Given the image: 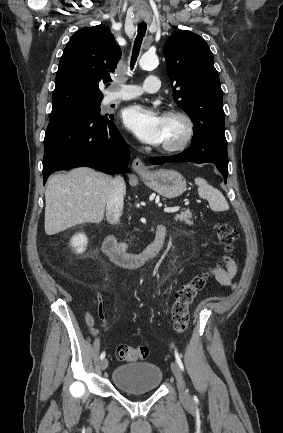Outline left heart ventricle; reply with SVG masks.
I'll use <instances>...</instances> for the list:
<instances>
[{"instance_id": "1", "label": "left heart ventricle", "mask_w": 283, "mask_h": 433, "mask_svg": "<svg viewBox=\"0 0 283 433\" xmlns=\"http://www.w3.org/2000/svg\"><path fill=\"white\" fill-rule=\"evenodd\" d=\"M165 139L161 150L179 142L185 133V124L178 117H163Z\"/></svg>"}]
</instances>
